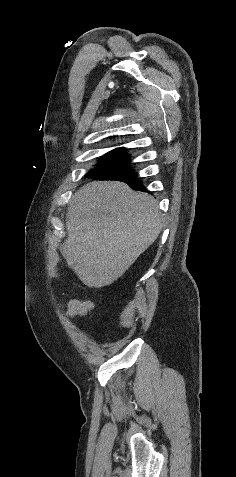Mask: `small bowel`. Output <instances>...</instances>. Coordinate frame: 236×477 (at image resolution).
I'll return each instance as SVG.
<instances>
[{
  "label": "small bowel",
  "mask_w": 236,
  "mask_h": 477,
  "mask_svg": "<svg viewBox=\"0 0 236 477\" xmlns=\"http://www.w3.org/2000/svg\"><path fill=\"white\" fill-rule=\"evenodd\" d=\"M92 309L93 304L88 300L71 299L67 303L66 316L76 321L77 318H86Z\"/></svg>",
  "instance_id": "1"
}]
</instances>
